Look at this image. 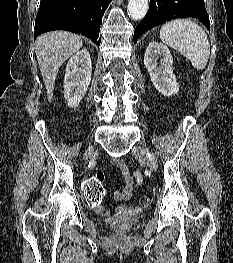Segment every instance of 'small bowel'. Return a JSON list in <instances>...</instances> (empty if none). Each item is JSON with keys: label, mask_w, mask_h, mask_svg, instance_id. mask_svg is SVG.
Instances as JSON below:
<instances>
[{"label": "small bowel", "mask_w": 233, "mask_h": 263, "mask_svg": "<svg viewBox=\"0 0 233 263\" xmlns=\"http://www.w3.org/2000/svg\"><path fill=\"white\" fill-rule=\"evenodd\" d=\"M112 164L117 168L122 180L121 188L114 192V198L118 202L129 201L132 198L135 188L142 182V175L138 171L131 174L126 163L119 158L112 159ZM93 209L98 214L105 213L102 204L98 205L97 208H93ZM125 209H126V205L121 204L120 206H118L117 211L121 212L124 211Z\"/></svg>", "instance_id": "1"}]
</instances>
